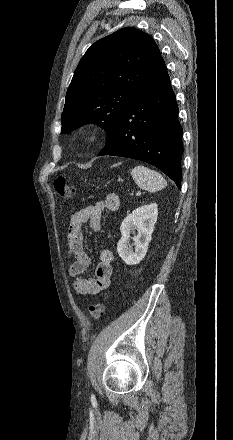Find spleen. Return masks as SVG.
<instances>
[{
  "label": "spleen",
  "mask_w": 233,
  "mask_h": 440,
  "mask_svg": "<svg viewBox=\"0 0 233 440\" xmlns=\"http://www.w3.org/2000/svg\"><path fill=\"white\" fill-rule=\"evenodd\" d=\"M131 175L141 189L149 192H156L167 186L166 180L160 173L142 165L134 167Z\"/></svg>",
  "instance_id": "1"
}]
</instances>
